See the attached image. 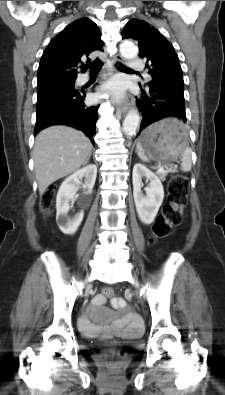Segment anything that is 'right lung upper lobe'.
I'll return each mask as SVG.
<instances>
[{
	"label": "right lung upper lobe",
	"instance_id": "right-lung-upper-lobe-1",
	"mask_svg": "<svg viewBox=\"0 0 225 395\" xmlns=\"http://www.w3.org/2000/svg\"><path fill=\"white\" fill-rule=\"evenodd\" d=\"M98 26L88 18L75 20L50 41L38 68V87L75 80L82 56L103 51Z\"/></svg>",
	"mask_w": 225,
	"mask_h": 395
}]
</instances>
